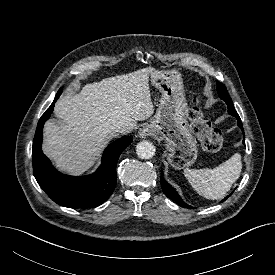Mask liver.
Masks as SVG:
<instances>
[{"instance_id": "1", "label": "liver", "mask_w": 275, "mask_h": 275, "mask_svg": "<svg viewBox=\"0 0 275 275\" xmlns=\"http://www.w3.org/2000/svg\"><path fill=\"white\" fill-rule=\"evenodd\" d=\"M154 70L143 68L86 84L81 92L57 101L54 113L61 124L45 123L43 151L59 170L85 172L117 135L119 126L132 131L137 121L152 116L149 75Z\"/></svg>"}]
</instances>
